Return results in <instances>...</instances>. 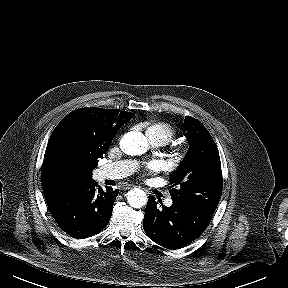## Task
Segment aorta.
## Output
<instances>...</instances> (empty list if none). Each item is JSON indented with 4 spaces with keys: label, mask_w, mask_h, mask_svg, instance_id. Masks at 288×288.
<instances>
[{
    "label": "aorta",
    "mask_w": 288,
    "mask_h": 288,
    "mask_svg": "<svg viewBox=\"0 0 288 288\" xmlns=\"http://www.w3.org/2000/svg\"><path fill=\"white\" fill-rule=\"evenodd\" d=\"M121 150L132 156L142 155L148 149L146 137L140 132H128L120 141ZM146 193L138 188L131 189L127 193V202L133 208H140L147 203Z\"/></svg>",
    "instance_id": "aorta-1"
}]
</instances>
